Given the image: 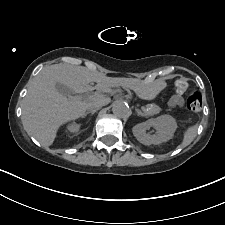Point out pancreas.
Wrapping results in <instances>:
<instances>
[{
  "label": "pancreas",
  "instance_id": "pancreas-1",
  "mask_svg": "<svg viewBox=\"0 0 225 225\" xmlns=\"http://www.w3.org/2000/svg\"><path fill=\"white\" fill-rule=\"evenodd\" d=\"M143 111L146 116H153L160 113L161 108L155 104H149L146 107H143Z\"/></svg>",
  "mask_w": 225,
  "mask_h": 225
}]
</instances>
